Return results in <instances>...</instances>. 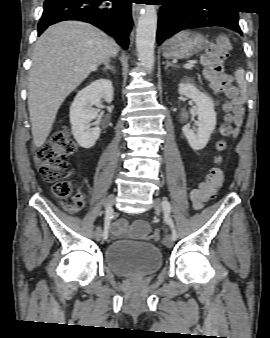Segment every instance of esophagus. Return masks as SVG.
Returning a JSON list of instances; mask_svg holds the SVG:
<instances>
[{"instance_id": "34e87169", "label": "esophagus", "mask_w": 270, "mask_h": 338, "mask_svg": "<svg viewBox=\"0 0 270 338\" xmlns=\"http://www.w3.org/2000/svg\"><path fill=\"white\" fill-rule=\"evenodd\" d=\"M140 8L141 6L139 4L132 3V16H133L134 21H136L137 18L139 17Z\"/></svg>"}]
</instances>
